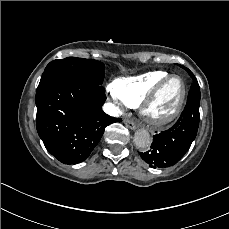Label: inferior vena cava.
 <instances>
[{
  "mask_svg": "<svg viewBox=\"0 0 229 229\" xmlns=\"http://www.w3.org/2000/svg\"><path fill=\"white\" fill-rule=\"evenodd\" d=\"M103 110L109 115L118 116L119 114L118 108L115 107V105L112 103H105L103 106Z\"/></svg>",
  "mask_w": 229,
  "mask_h": 229,
  "instance_id": "1",
  "label": "inferior vena cava"
}]
</instances>
